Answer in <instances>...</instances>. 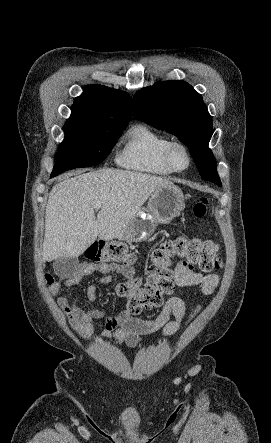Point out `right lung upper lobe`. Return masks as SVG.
Listing matches in <instances>:
<instances>
[{
    "label": "right lung upper lobe",
    "mask_w": 271,
    "mask_h": 443,
    "mask_svg": "<svg viewBox=\"0 0 271 443\" xmlns=\"http://www.w3.org/2000/svg\"><path fill=\"white\" fill-rule=\"evenodd\" d=\"M70 118H130L131 97L102 85H89L74 100Z\"/></svg>",
    "instance_id": "right-lung-upper-lobe-1"
}]
</instances>
